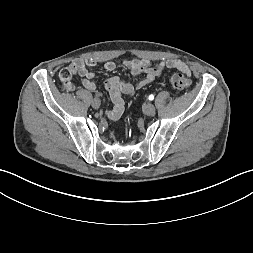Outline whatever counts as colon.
Here are the masks:
<instances>
[{
    "label": "colon",
    "mask_w": 253,
    "mask_h": 253,
    "mask_svg": "<svg viewBox=\"0 0 253 253\" xmlns=\"http://www.w3.org/2000/svg\"><path fill=\"white\" fill-rule=\"evenodd\" d=\"M74 74L75 72L68 67L61 69L59 72L60 83L67 91H72L74 89V84L72 82ZM170 84L175 89H186L191 84V77L188 72H176L170 76Z\"/></svg>",
    "instance_id": "colon-1"
}]
</instances>
